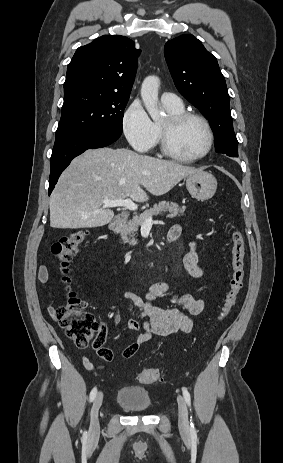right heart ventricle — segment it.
Returning <instances> with one entry per match:
<instances>
[{"instance_id": "obj_1", "label": "right heart ventricle", "mask_w": 283, "mask_h": 463, "mask_svg": "<svg viewBox=\"0 0 283 463\" xmlns=\"http://www.w3.org/2000/svg\"><path fill=\"white\" fill-rule=\"evenodd\" d=\"M165 109L167 112L170 114H178L184 111V106L181 104L180 106H170L165 103H163ZM157 130H158V136H159V123H155Z\"/></svg>"}]
</instances>
